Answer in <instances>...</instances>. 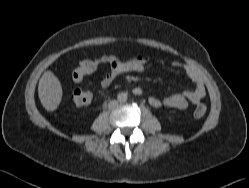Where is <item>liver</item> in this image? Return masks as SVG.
<instances>
[{
    "instance_id": "1",
    "label": "liver",
    "mask_w": 249,
    "mask_h": 188,
    "mask_svg": "<svg viewBox=\"0 0 249 188\" xmlns=\"http://www.w3.org/2000/svg\"><path fill=\"white\" fill-rule=\"evenodd\" d=\"M38 95L47 111H54L62 100L63 90L59 79L50 70L45 71L39 80Z\"/></svg>"
}]
</instances>
